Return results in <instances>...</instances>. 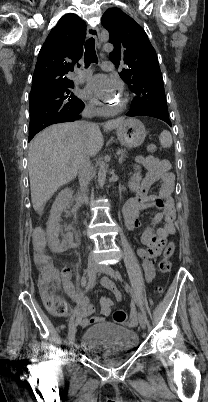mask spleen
Instances as JSON below:
<instances>
[{
	"instance_id": "spleen-1",
	"label": "spleen",
	"mask_w": 208,
	"mask_h": 402,
	"mask_svg": "<svg viewBox=\"0 0 208 402\" xmlns=\"http://www.w3.org/2000/svg\"><path fill=\"white\" fill-rule=\"evenodd\" d=\"M160 144L162 148H171L172 146V136L168 130H163L159 136Z\"/></svg>"
}]
</instances>
